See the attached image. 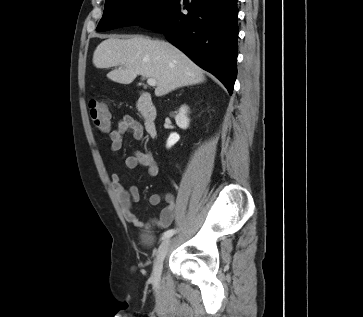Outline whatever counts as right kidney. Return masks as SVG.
<instances>
[{
  "mask_svg": "<svg viewBox=\"0 0 363 317\" xmlns=\"http://www.w3.org/2000/svg\"><path fill=\"white\" fill-rule=\"evenodd\" d=\"M188 107L183 105L179 109V113L175 116V121L178 127L181 129H187L189 127V118L187 117Z\"/></svg>",
  "mask_w": 363,
  "mask_h": 317,
  "instance_id": "ca27d5eb",
  "label": "right kidney"
}]
</instances>
